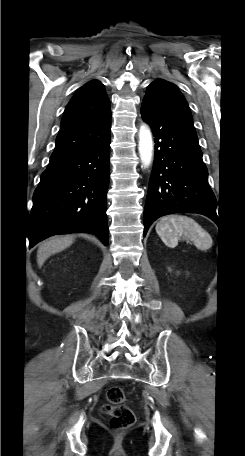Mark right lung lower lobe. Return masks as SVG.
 <instances>
[{"instance_id": "1", "label": "right lung lower lobe", "mask_w": 245, "mask_h": 456, "mask_svg": "<svg viewBox=\"0 0 245 456\" xmlns=\"http://www.w3.org/2000/svg\"><path fill=\"white\" fill-rule=\"evenodd\" d=\"M110 129L90 146L50 159L33 196L30 248L49 236L72 232L93 233L108 245Z\"/></svg>"}]
</instances>
